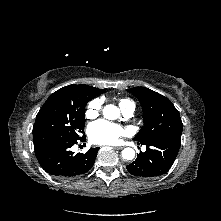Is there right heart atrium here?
<instances>
[{
	"label": "right heart atrium",
	"mask_w": 221,
	"mask_h": 221,
	"mask_svg": "<svg viewBox=\"0 0 221 221\" xmlns=\"http://www.w3.org/2000/svg\"><path fill=\"white\" fill-rule=\"evenodd\" d=\"M102 107V101L98 98L93 99L88 103L85 109V116L88 119L96 118L101 110Z\"/></svg>",
	"instance_id": "right-heart-atrium-1"
}]
</instances>
